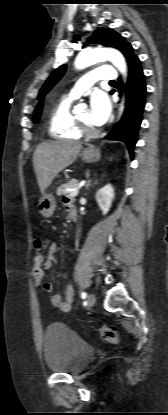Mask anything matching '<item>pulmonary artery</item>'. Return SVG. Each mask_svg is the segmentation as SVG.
Segmentation results:
<instances>
[{
	"mask_svg": "<svg viewBox=\"0 0 168 415\" xmlns=\"http://www.w3.org/2000/svg\"><path fill=\"white\" fill-rule=\"evenodd\" d=\"M117 78L116 70L110 65H103L90 71L80 78L70 90L68 96L78 98L98 80L114 81Z\"/></svg>",
	"mask_w": 168,
	"mask_h": 415,
	"instance_id": "1",
	"label": "pulmonary artery"
}]
</instances>
